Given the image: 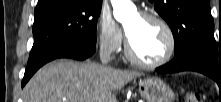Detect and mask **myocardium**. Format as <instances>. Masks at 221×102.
Segmentation results:
<instances>
[{
    "mask_svg": "<svg viewBox=\"0 0 221 102\" xmlns=\"http://www.w3.org/2000/svg\"><path fill=\"white\" fill-rule=\"evenodd\" d=\"M139 15L147 20H152L157 22L166 32L167 38H168V49L165 53V55L160 58L157 61L154 62H147L141 59L134 51L131 42L129 40V37L126 40V54L129 60L134 63L137 66H140L142 68H147V69H153V68H158L160 66L165 65L168 63L171 58L173 57L175 50H176V38L175 34L173 32V29L169 25V23L160 15L149 12V11H142L139 13Z\"/></svg>",
    "mask_w": 221,
    "mask_h": 102,
    "instance_id": "f54148a6",
    "label": "myocardium"
}]
</instances>
